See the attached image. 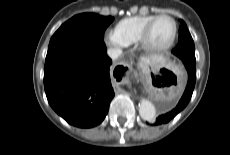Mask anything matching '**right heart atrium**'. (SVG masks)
<instances>
[{"mask_svg":"<svg viewBox=\"0 0 230 155\" xmlns=\"http://www.w3.org/2000/svg\"><path fill=\"white\" fill-rule=\"evenodd\" d=\"M107 45L122 50L127 47V44L115 33V31H108L104 36Z\"/></svg>","mask_w":230,"mask_h":155,"instance_id":"right-heart-atrium-1","label":"right heart atrium"}]
</instances>
